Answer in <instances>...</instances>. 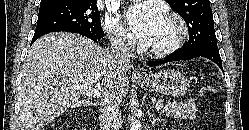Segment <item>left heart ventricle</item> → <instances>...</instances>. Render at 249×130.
I'll return each instance as SVG.
<instances>
[{"label": "left heart ventricle", "instance_id": "b2bd125f", "mask_svg": "<svg viewBox=\"0 0 249 130\" xmlns=\"http://www.w3.org/2000/svg\"><path fill=\"white\" fill-rule=\"evenodd\" d=\"M177 33L178 29L176 24L166 17H163L148 47L158 48L165 46L175 39Z\"/></svg>", "mask_w": 249, "mask_h": 130}]
</instances>
